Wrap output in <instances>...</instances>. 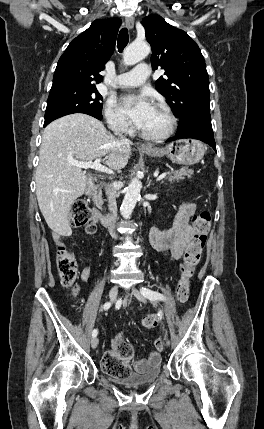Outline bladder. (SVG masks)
Returning a JSON list of instances; mask_svg holds the SVG:
<instances>
[{
	"label": "bladder",
	"mask_w": 264,
	"mask_h": 429,
	"mask_svg": "<svg viewBox=\"0 0 264 429\" xmlns=\"http://www.w3.org/2000/svg\"><path fill=\"white\" fill-rule=\"evenodd\" d=\"M108 374V373H107ZM161 374L160 364L148 368L144 372H133L123 377H117L108 374L110 381L128 388H135L142 385L153 383Z\"/></svg>",
	"instance_id": "1"
}]
</instances>
